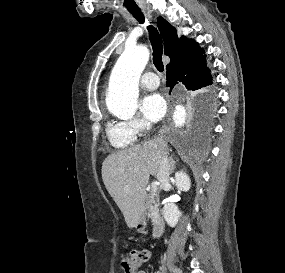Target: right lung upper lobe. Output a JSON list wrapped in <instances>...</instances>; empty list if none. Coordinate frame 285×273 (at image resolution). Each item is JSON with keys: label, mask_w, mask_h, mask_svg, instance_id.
<instances>
[{"label": "right lung upper lobe", "mask_w": 285, "mask_h": 273, "mask_svg": "<svg viewBox=\"0 0 285 273\" xmlns=\"http://www.w3.org/2000/svg\"><path fill=\"white\" fill-rule=\"evenodd\" d=\"M158 28L164 40V53L170 57L166 68L176 66L204 52L195 41L187 40L182 36L178 38L176 29L164 18H158Z\"/></svg>", "instance_id": "obj_1"}]
</instances>
